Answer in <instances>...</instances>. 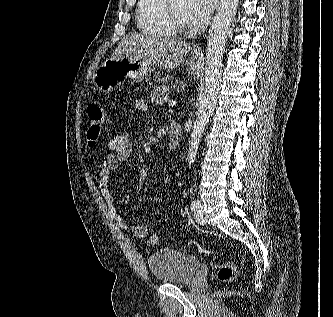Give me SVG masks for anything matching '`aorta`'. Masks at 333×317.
<instances>
[{
    "instance_id": "obj_1",
    "label": "aorta",
    "mask_w": 333,
    "mask_h": 317,
    "mask_svg": "<svg viewBox=\"0 0 333 317\" xmlns=\"http://www.w3.org/2000/svg\"><path fill=\"white\" fill-rule=\"evenodd\" d=\"M239 0H220L209 29L206 48L205 88L196 112L188 151V165L196 158L202 133L216 107L222 82V59L227 34L236 15Z\"/></svg>"
}]
</instances>
